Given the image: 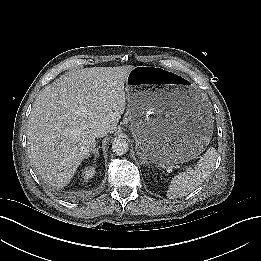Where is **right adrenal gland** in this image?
I'll use <instances>...</instances> for the list:
<instances>
[{
  "instance_id": "2a0ac1e0",
  "label": "right adrenal gland",
  "mask_w": 261,
  "mask_h": 261,
  "mask_svg": "<svg viewBox=\"0 0 261 261\" xmlns=\"http://www.w3.org/2000/svg\"><path fill=\"white\" fill-rule=\"evenodd\" d=\"M97 144H98V141L95 142V146H96ZM91 154L94 155V160H96V158H97L98 155H99L98 148H94V149L92 150V153H91Z\"/></svg>"
}]
</instances>
